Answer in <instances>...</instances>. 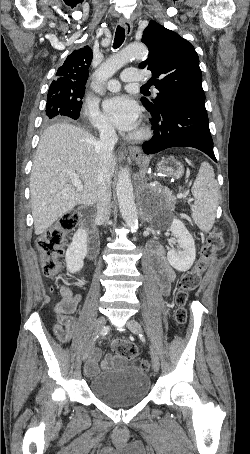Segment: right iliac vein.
Segmentation results:
<instances>
[{"instance_id": "63e3f726", "label": "right iliac vein", "mask_w": 250, "mask_h": 454, "mask_svg": "<svg viewBox=\"0 0 250 454\" xmlns=\"http://www.w3.org/2000/svg\"><path fill=\"white\" fill-rule=\"evenodd\" d=\"M105 324H106L105 317L104 316L98 317L95 322V326H94V335H97L98 333H100L103 330ZM94 345H95V342H94V338H93V339H91V341L88 343V345L85 348L84 355H83V361H85L88 358L91 351L93 350Z\"/></svg>"}]
</instances>
